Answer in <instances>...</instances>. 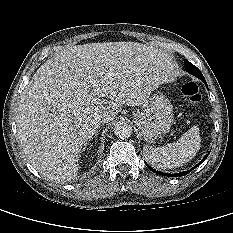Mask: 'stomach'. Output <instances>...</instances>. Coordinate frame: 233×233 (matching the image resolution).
<instances>
[{"instance_id": "obj_1", "label": "stomach", "mask_w": 233, "mask_h": 233, "mask_svg": "<svg viewBox=\"0 0 233 233\" xmlns=\"http://www.w3.org/2000/svg\"><path fill=\"white\" fill-rule=\"evenodd\" d=\"M133 117L147 142L167 133L174 122L173 107L162 93L150 95L142 110Z\"/></svg>"}]
</instances>
